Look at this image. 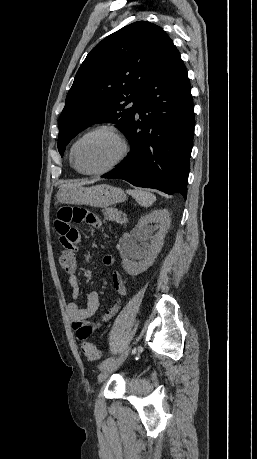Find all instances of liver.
<instances>
[{
    "label": "liver",
    "instance_id": "liver-1",
    "mask_svg": "<svg viewBox=\"0 0 257 459\" xmlns=\"http://www.w3.org/2000/svg\"><path fill=\"white\" fill-rule=\"evenodd\" d=\"M96 182V180H82L80 182H73V183H68V184H63L60 186V188H70V187H76V186H83L86 184H93Z\"/></svg>",
    "mask_w": 257,
    "mask_h": 459
}]
</instances>
